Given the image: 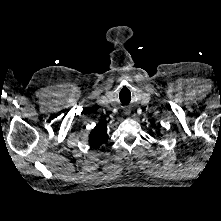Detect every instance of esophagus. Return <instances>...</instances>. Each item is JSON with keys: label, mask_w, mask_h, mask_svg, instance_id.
Masks as SVG:
<instances>
[{"label": "esophagus", "mask_w": 221, "mask_h": 221, "mask_svg": "<svg viewBox=\"0 0 221 221\" xmlns=\"http://www.w3.org/2000/svg\"><path fill=\"white\" fill-rule=\"evenodd\" d=\"M125 114L128 115L130 113V111L128 109H125Z\"/></svg>", "instance_id": "esophagus-1"}]
</instances>
